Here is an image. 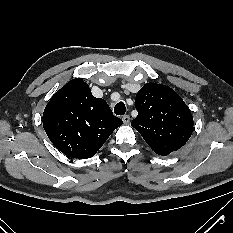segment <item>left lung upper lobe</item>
I'll return each mask as SVG.
<instances>
[{
	"mask_svg": "<svg viewBox=\"0 0 233 233\" xmlns=\"http://www.w3.org/2000/svg\"><path fill=\"white\" fill-rule=\"evenodd\" d=\"M135 107L138 116L131 125L155 153L166 156L189 140L193 131L192 114L170 87L145 84L136 95Z\"/></svg>",
	"mask_w": 233,
	"mask_h": 233,
	"instance_id": "5c2ea615",
	"label": "left lung upper lobe"
}]
</instances>
